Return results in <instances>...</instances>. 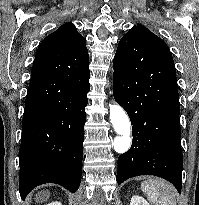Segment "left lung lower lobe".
I'll return each instance as SVG.
<instances>
[{
	"label": "left lung lower lobe",
	"mask_w": 199,
	"mask_h": 205,
	"mask_svg": "<svg viewBox=\"0 0 199 205\" xmlns=\"http://www.w3.org/2000/svg\"><path fill=\"white\" fill-rule=\"evenodd\" d=\"M113 94L132 124L131 148L118 158L117 182L155 175L181 193L180 104L172 56L137 31L120 40L113 61Z\"/></svg>",
	"instance_id": "obj_1"
}]
</instances>
